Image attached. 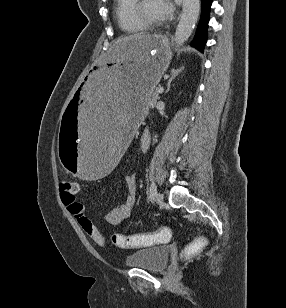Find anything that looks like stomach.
<instances>
[{"mask_svg": "<svg viewBox=\"0 0 286 308\" xmlns=\"http://www.w3.org/2000/svg\"><path fill=\"white\" fill-rule=\"evenodd\" d=\"M171 58L168 38L155 34L130 36L94 61L60 118L66 173L81 182H104L115 173Z\"/></svg>", "mask_w": 286, "mask_h": 308, "instance_id": "1", "label": "stomach"}]
</instances>
